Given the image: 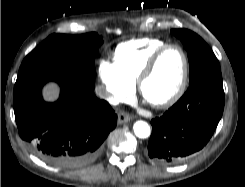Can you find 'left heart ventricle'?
Masks as SVG:
<instances>
[{
  "instance_id": "b2bd125f",
  "label": "left heart ventricle",
  "mask_w": 245,
  "mask_h": 187,
  "mask_svg": "<svg viewBox=\"0 0 245 187\" xmlns=\"http://www.w3.org/2000/svg\"><path fill=\"white\" fill-rule=\"evenodd\" d=\"M182 70L183 60L180 52L177 49L168 50L143 85L145 100L157 103L168 98L178 87Z\"/></svg>"
}]
</instances>
